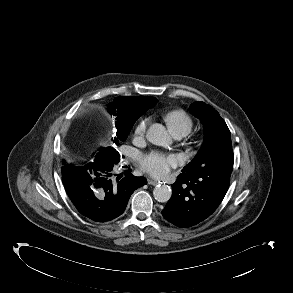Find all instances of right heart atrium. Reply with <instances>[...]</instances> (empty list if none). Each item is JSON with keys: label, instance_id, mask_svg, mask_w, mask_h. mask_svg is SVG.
<instances>
[{"label": "right heart atrium", "instance_id": "right-heart-atrium-1", "mask_svg": "<svg viewBox=\"0 0 293 293\" xmlns=\"http://www.w3.org/2000/svg\"><path fill=\"white\" fill-rule=\"evenodd\" d=\"M148 124H149L148 118L141 119L135 126L134 136L137 138L143 137L146 132Z\"/></svg>", "mask_w": 293, "mask_h": 293}]
</instances>
